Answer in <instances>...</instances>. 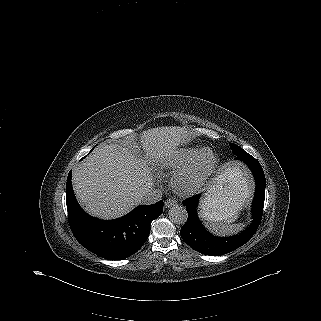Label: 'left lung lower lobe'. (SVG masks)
Wrapping results in <instances>:
<instances>
[{
    "label": "left lung lower lobe",
    "instance_id": "1",
    "mask_svg": "<svg viewBox=\"0 0 321 321\" xmlns=\"http://www.w3.org/2000/svg\"><path fill=\"white\" fill-rule=\"evenodd\" d=\"M236 156V159L248 165L256 181L255 196L252 204L253 222L244 232L230 238L211 235L202 226L197 216L200 194L183 201V205L186 206L188 213V219L181 228V237L191 248L205 255H223L239 248L254 235L262 218L265 200V176L263 169L260 163L245 151Z\"/></svg>",
    "mask_w": 321,
    "mask_h": 321
}]
</instances>
